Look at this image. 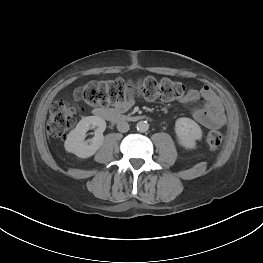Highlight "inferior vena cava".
Returning <instances> with one entry per match:
<instances>
[{
    "mask_svg": "<svg viewBox=\"0 0 263 263\" xmlns=\"http://www.w3.org/2000/svg\"><path fill=\"white\" fill-rule=\"evenodd\" d=\"M117 130L119 132L125 133L129 130V124L126 121H120L117 124Z\"/></svg>",
    "mask_w": 263,
    "mask_h": 263,
    "instance_id": "inferior-vena-cava-1",
    "label": "inferior vena cava"
}]
</instances>
